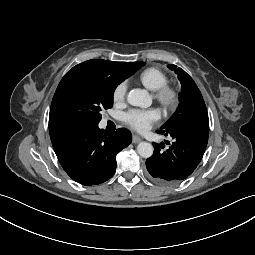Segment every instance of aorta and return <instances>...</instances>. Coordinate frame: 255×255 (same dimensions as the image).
<instances>
[{
  "label": "aorta",
  "mask_w": 255,
  "mask_h": 255,
  "mask_svg": "<svg viewBox=\"0 0 255 255\" xmlns=\"http://www.w3.org/2000/svg\"><path fill=\"white\" fill-rule=\"evenodd\" d=\"M127 101L129 104L141 108H147L152 104V99L149 93L143 89H132L127 95ZM153 151L154 148L152 144L148 142H141L137 146V152L143 158L151 157Z\"/></svg>",
  "instance_id": "762f6f07"
}]
</instances>
